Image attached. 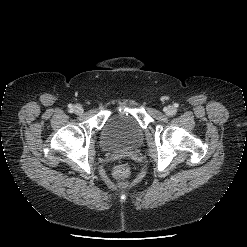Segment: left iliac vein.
<instances>
[{"label": "left iliac vein", "mask_w": 247, "mask_h": 247, "mask_svg": "<svg viewBox=\"0 0 247 247\" xmlns=\"http://www.w3.org/2000/svg\"><path fill=\"white\" fill-rule=\"evenodd\" d=\"M174 112H175V109H174L173 107H167V108L165 109V113H166V115H168V116L173 115Z\"/></svg>", "instance_id": "1"}]
</instances>
